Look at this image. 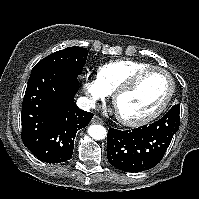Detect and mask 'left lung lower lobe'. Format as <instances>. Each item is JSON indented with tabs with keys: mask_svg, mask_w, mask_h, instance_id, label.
I'll return each mask as SVG.
<instances>
[{
	"mask_svg": "<svg viewBox=\"0 0 199 199\" xmlns=\"http://www.w3.org/2000/svg\"><path fill=\"white\" fill-rule=\"evenodd\" d=\"M180 105H174L161 119L140 128L121 131L110 128L108 161L126 172H140L156 166L163 158L180 125Z\"/></svg>",
	"mask_w": 199,
	"mask_h": 199,
	"instance_id": "0a47b994",
	"label": "left lung lower lobe"
}]
</instances>
